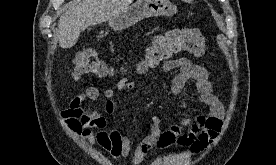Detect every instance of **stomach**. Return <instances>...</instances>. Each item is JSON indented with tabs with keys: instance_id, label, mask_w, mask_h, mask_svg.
<instances>
[{
	"instance_id": "stomach-1",
	"label": "stomach",
	"mask_w": 276,
	"mask_h": 165,
	"mask_svg": "<svg viewBox=\"0 0 276 165\" xmlns=\"http://www.w3.org/2000/svg\"><path fill=\"white\" fill-rule=\"evenodd\" d=\"M177 13V7L169 0H137L126 10L109 21L114 31H122L137 22L154 16L170 17Z\"/></svg>"
}]
</instances>
